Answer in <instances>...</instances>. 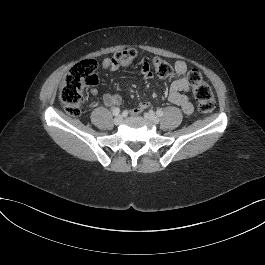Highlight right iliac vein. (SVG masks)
<instances>
[{
    "label": "right iliac vein",
    "mask_w": 265,
    "mask_h": 265,
    "mask_svg": "<svg viewBox=\"0 0 265 265\" xmlns=\"http://www.w3.org/2000/svg\"><path fill=\"white\" fill-rule=\"evenodd\" d=\"M122 120H123L122 116L118 115L117 117L114 118V124L119 125L121 124Z\"/></svg>",
    "instance_id": "1"
}]
</instances>
